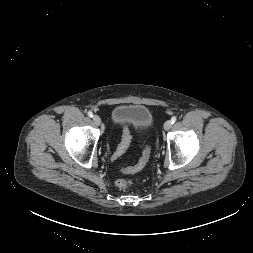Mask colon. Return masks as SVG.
Here are the masks:
<instances>
[{"label":"colon","mask_w":253,"mask_h":253,"mask_svg":"<svg viewBox=\"0 0 253 253\" xmlns=\"http://www.w3.org/2000/svg\"><path fill=\"white\" fill-rule=\"evenodd\" d=\"M130 139H131L130 132L128 129H125L122 142L120 143L116 152L114 153V156H113L114 159H117L124 153V151L127 149L129 145ZM150 152H151L150 146L146 145L143 151V155L140 158L139 162L135 166L124 168L123 171L125 173H135L139 171L140 169H142L149 161ZM115 184L120 189H126L133 184V181L130 179H118L116 180Z\"/></svg>","instance_id":"obj_1"}]
</instances>
